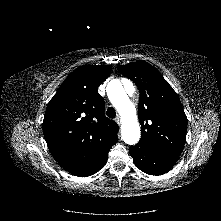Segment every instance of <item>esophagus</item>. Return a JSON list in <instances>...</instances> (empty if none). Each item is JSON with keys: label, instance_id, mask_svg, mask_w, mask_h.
<instances>
[{"label": "esophagus", "instance_id": "1", "mask_svg": "<svg viewBox=\"0 0 221 221\" xmlns=\"http://www.w3.org/2000/svg\"><path fill=\"white\" fill-rule=\"evenodd\" d=\"M115 121L117 122L118 125L121 124V119H120V117H116Z\"/></svg>", "mask_w": 221, "mask_h": 221}]
</instances>
